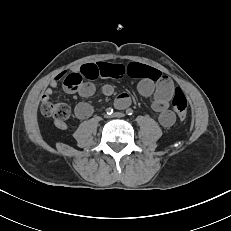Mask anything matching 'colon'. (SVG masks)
I'll use <instances>...</instances> for the list:
<instances>
[{
  "label": "colon",
  "instance_id": "5ec220e1",
  "mask_svg": "<svg viewBox=\"0 0 231 231\" xmlns=\"http://www.w3.org/2000/svg\"><path fill=\"white\" fill-rule=\"evenodd\" d=\"M150 74L153 79L159 77L157 72L153 70L150 71ZM82 80L83 77L80 73L73 72L63 79V86L66 91L74 92L80 87ZM172 105L179 119L184 121L187 116L188 103L184 93L179 88L175 90ZM41 112L47 117H52L56 122H63L70 117V109L66 104H54L50 100H42Z\"/></svg>",
  "mask_w": 231,
  "mask_h": 231
}]
</instances>
